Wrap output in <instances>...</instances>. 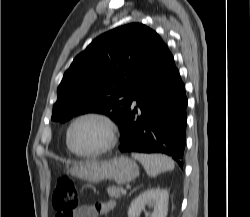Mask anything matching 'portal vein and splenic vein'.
I'll return each mask as SVG.
<instances>
[{
	"mask_svg": "<svg viewBox=\"0 0 250 217\" xmlns=\"http://www.w3.org/2000/svg\"><path fill=\"white\" fill-rule=\"evenodd\" d=\"M122 193H123V194H126V193H127V191L124 189V190L122 191Z\"/></svg>",
	"mask_w": 250,
	"mask_h": 217,
	"instance_id": "portal-vein-and-splenic-vein-1",
	"label": "portal vein and splenic vein"
}]
</instances>
